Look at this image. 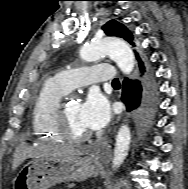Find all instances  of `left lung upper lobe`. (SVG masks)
Instances as JSON below:
<instances>
[{"instance_id":"1","label":"left lung upper lobe","mask_w":188,"mask_h":189,"mask_svg":"<svg viewBox=\"0 0 188 189\" xmlns=\"http://www.w3.org/2000/svg\"><path fill=\"white\" fill-rule=\"evenodd\" d=\"M102 29L104 30L106 35L123 38L124 40L129 42L131 45L135 46L132 33L123 24L115 20H110L102 27ZM136 57L138 60H140L138 54H136Z\"/></svg>"}]
</instances>
